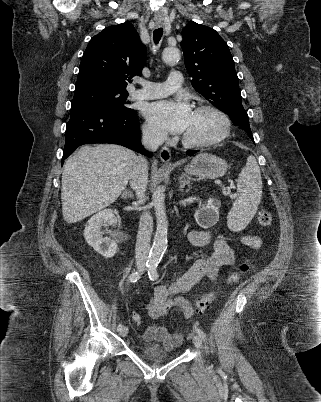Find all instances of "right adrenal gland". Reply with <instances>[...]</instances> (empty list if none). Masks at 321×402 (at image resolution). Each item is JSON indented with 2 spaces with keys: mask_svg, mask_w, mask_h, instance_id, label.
I'll return each instance as SVG.
<instances>
[{
  "mask_svg": "<svg viewBox=\"0 0 321 402\" xmlns=\"http://www.w3.org/2000/svg\"><path fill=\"white\" fill-rule=\"evenodd\" d=\"M133 197H134V194L131 191L125 190L122 193V198H133Z\"/></svg>",
  "mask_w": 321,
  "mask_h": 402,
  "instance_id": "2a0ac1e0",
  "label": "right adrenal gland"
}]
</instances>
